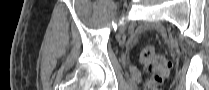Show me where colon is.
Returning <instances> with one entry per match:
<instances>
[{
    "mask_svg": "<svg viewBox=\"0 0 209 90\" xmlns=\"http://www.w3.org/2000/svg\"><path fill=\"white\" fill-rule=\"evenodd\" d=\"M140 61L144 70L151 75L153 83H160L170 68V62L158 54L153 46H146L140 52Z\"/></svg>",
    "mask_w": 209,
    "mask_h": 90,
    "instance_id": "colon-1",
    "label": "colon"
}]
</instances>
